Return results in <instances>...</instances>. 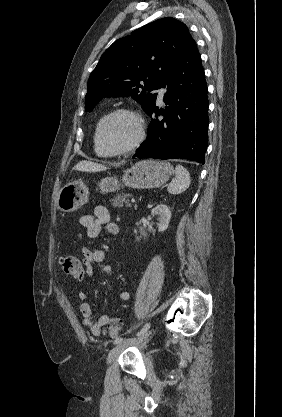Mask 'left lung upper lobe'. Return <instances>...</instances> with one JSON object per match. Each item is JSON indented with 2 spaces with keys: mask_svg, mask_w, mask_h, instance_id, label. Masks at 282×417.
<instances>
[{
  "mask_svg": "<svg viewBox=\"0 0 282 417\" xmlns=\"http://www.w3.org/2000/svg\"><path fill=\"white\" fill-rule=\"evenodd\" d=\"M193 38L187 26L172 18L149 23L115 41L102 55L88 80L86 111L103 97L132 96L148 113L165 76Z\"/></svg>",
  "mask_w": 282,
  "mask_h": 417,
  "instance_id": "left-lung-upper-lobe-1",
  "label": "left lung upper lobe"
}]
</instances>
